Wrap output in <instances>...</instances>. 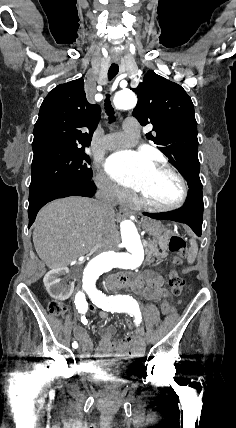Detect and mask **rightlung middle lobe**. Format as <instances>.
<instances>
[{
	"label": "right lung middle lobe",
	"instance_id": "right-lung-middle-lobe-1",
	"mask_svg": "<svg viewBox=\"0 0 236 428\" xmlns=\"http://www.w3.org/2000/svg\"><path fill=\"white\" fill-rule=\"evenodd\" d=\"M88 146H46L33 150L31 184L29 189L59 181H90V158L84 148Z\"/></svg>",
	"mask_w": 236,
	"mask_h": 428
}]
</instances>
